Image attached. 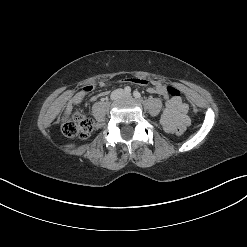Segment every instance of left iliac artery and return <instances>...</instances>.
I'll return each instance as SVG.
<instances>
[{"label":"left iliac artery","mask_w":247,"mask_h":247,"mask_svg":"<svg viewBox=\"0 0 247 247\" xmlns=\"http://www.w3.org/2000/svg\"><path fill=\"white\" fill-rule=\"evenodd\" d=\"M133 95L135 98H141V94L138 91H134Z\"/></svg>","instance_id":"1"}]
</instances>
